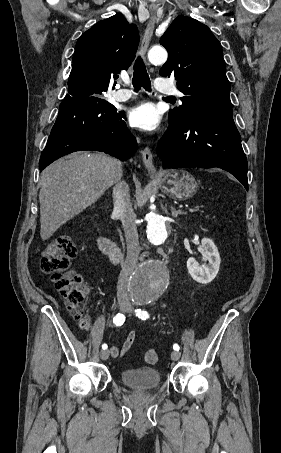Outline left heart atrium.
<instances>
[{
  "label": "left heart atrium",
  "mask_w": 281,
  "mask_h": 453,
  "mask_svg": "<svg viewBox=\"0 0 281 453\" xmlns=\"http://www.w3.org/2000/svg\"><path fill=\"white\" fill-rule=\"evenodd\" d=\"M128 119L133 127L152 131L160 125L161 115L152 103H142L129 111Z\"/></svg>",
  "instance_id": "1"
}]
</instances>
